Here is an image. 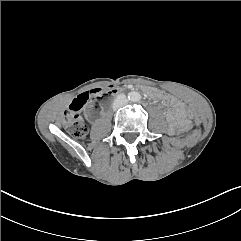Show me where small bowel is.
<instances>
[{
  "label": "small bowel",
  "instance_id": "small-bowel-1",
  "mask_svg": "<svg viewBox=\"0 0 241 241\" xmlns=\"http://www.w3.org/2000/svg\"><path fill=\"white\" fill-rule=\"evenodd\" d=\"M165 100L172 106L173 110L167 114L170 128L173 131L175 127L188 124L186 120L185 105L182 101L174 97H165Z\"/></svg>",
  "mask_w": 241,
  "mask_h": 241
}]
</instances>
